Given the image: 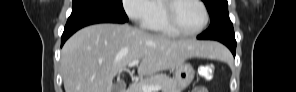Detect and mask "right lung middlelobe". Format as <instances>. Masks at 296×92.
Here are the masks:
<instances>
[{"label": "right lung middle lobe", "mask_w": 296, "mask_h": 92, "mask_svg": "<svg viewBox=\"0 0 296 92\" xmlns=\"http://www.w3.org/2000/svg\"><path fill=\"white\" fill-rule=\"evenodd\" d=\"M87 11L101 12L128 20L122 0H73L72 14Z\"/></svg>", "instance_id": "dd1d6c3e"}]
</instances>
